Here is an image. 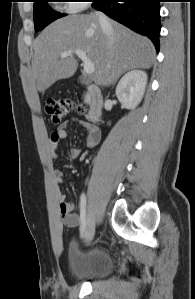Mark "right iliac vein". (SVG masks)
Returning <instances> with one entry per match:
<instances>
[{
  "label": "right iliac vein",
  "instance_id": "right-iliac-vein-1",
  "mask_svg": "<svg viewBox=\"0 0 195 299\" xmlns=\"http://www.w3.org/2000/svg\"><path fill=\"white\" fill-rule=\"evenodd\" d=\"M95 234V221L91 213L87 214L86 227H85V238L89 243L94 238Z\"/></svg>",
  "mask_w": 195,
  "mask_h": 299
}]
</instances>
